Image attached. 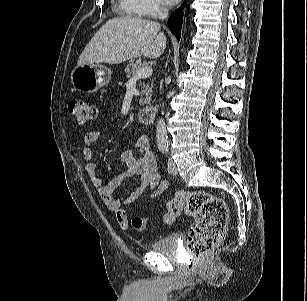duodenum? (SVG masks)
<instances>
[{"label": "duodenum", "instance_id": "1", "mask_svg": "<svg viewBox=\"0 0 307 301\" xmlns=\"http://www.w3.org/2000/svg\"><path fill=\"white\" fill-rule=\"evenodd\" d=\"M156 109L154 106L144 107L138 112V121L144 125H150L154 122Z\"/></svg>", "mask_w": 307, "mask_h": 301}]
</instances>
